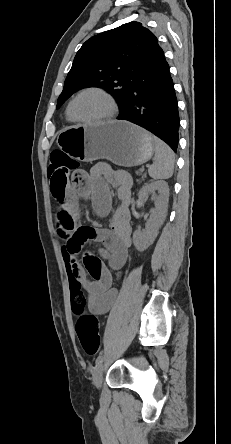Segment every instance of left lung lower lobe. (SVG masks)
I'll use <instances>...</instances> for the list:
<instances>
[{
	"label": "left lung lower lobe",
	"mask_w": 231,
	"mask_h": 444,
	"mask_svg": "<svg viewBox=\"0 0 231 444\" xmlns=\"http://www.w3.org/2000/svg\"><path fill=\"white\" fill-rule=\"evenodd\" d=\"M118 119L133 122L178 147L179 115L174 84L163 50L141 69Z\"/></svg>",
	"instance_id": "1"
}]
</instances>
